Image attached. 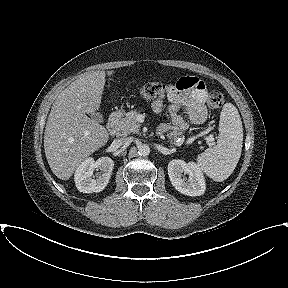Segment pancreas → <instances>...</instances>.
<instances>
[{"instance_id":"1","label":"pancreas","mask_w":288,"mask_h":288,"mask_svg":"<svg viewBox=\"0 0 288 288\" xmlns=\"http://www.w3.org/2000/svg\"><path fill=\"white\" fill-rule=\"evenodd\" d=\"M138 112L132 110L125 114V117L117 121V134L119 136L128 135L130 133H139L141 124L137 121ZM169 142L175 146H181L184 143L182 132L173 130L168 135Z\"/></svg>"}]
</instances>
